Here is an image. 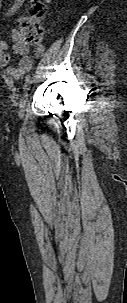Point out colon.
Returning a JSON list of instances; mask_svg holds the SVG:
<instances>
[{
    "instance_id": "colon-1",
    "label": "colon",
    "mask_w": 127,
    "mask_h": 303,
    "mask_svg": "<svg viewBox=\"0 0 127 303\" xmlns=\"http://www.w3.org/2000/svg\"><path fill=\"white\" fill-rule=\"evenodd\" d=\"M45 6L42 2L36 0L31 7V16L22 18L20 21V36L25 44L37 45L44 37V30L40 23Z\"/></svg>"
}]
</instances>
